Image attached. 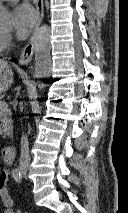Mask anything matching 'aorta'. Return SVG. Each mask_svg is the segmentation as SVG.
Here are the masks:
<instances>
[{"instance_id": "aorta-1", "label": "aorta", "mask_w": 128, "mask_h": 213, "mask_svg": "<svg viewBox=\"0 0 128 213\" xmlns=\"http://www.w3.org/2000/svg\"><path fill=\"white\" fill-rule=\"evenodd\" d=\"M10 14L0 3V27L9 23ZM35 73L34 77L38 79L49 78L52 72L51 61V29L47 25L41 26L35 34ZM43 85H40L42 88Z\"/></svg>"}]
</instances>
